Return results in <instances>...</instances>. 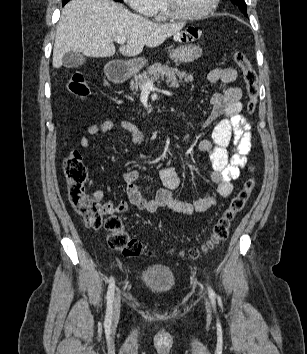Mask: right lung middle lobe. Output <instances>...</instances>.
<instances>
[{
	"label": "right lung middle lobe",
	"instance_id": "dd1d6c3e",
	"mask_svg": "<svg viewBox=\"0 0 307 354\" xmlns=\"http://www.w3.org/2000/svg\"><path fill=\"white\" fill-rule=\"evenodd\" d=\"M114 1L121 2L122 0H114Z\"/></svg>",
	"mask_w": 307,
	"mask_h": 354
}]
</instances>
